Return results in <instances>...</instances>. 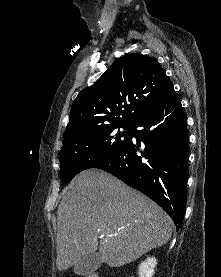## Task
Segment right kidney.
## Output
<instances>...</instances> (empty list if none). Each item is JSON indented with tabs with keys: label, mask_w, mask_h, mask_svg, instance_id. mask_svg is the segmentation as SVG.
Masks as SVG:
<instances>
[{
	"label": "right kidney",
	"mask_w": 221,
	"mask_h": 277,
	"mask_svg": "<svg viewBox=\"0 0 221 277\" xmlns=\"http://www.w3.org/2000/svg\"><path fill=\"white\" fill-rule=\"evenodd\" d=\"M157 260L155 257H148L144 262L139 265V277H153Z\"/></svg>",
	"instance_id": "ca27d5eb"
}]
</instances>
